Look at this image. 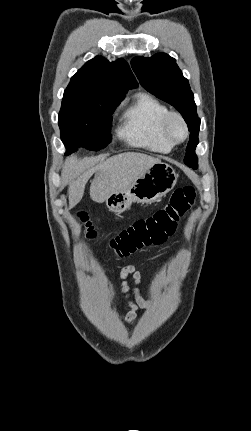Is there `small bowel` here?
Listing matches in <instances>:
<instances>
[{
    "label": "small bowel",
    "instance_id": "obj_1",
    "mask_svg": "<svg viewBox=\"0 0 251 431\" xmlns=\"http://www.w3.org/2000/svg\"><path fill=\"white\" fill-rule=\"evenodd\" d=\"M106 272H118L120 283V291L126 299L128 312L125 314L123 320L127 325H133L137 321V311L139 309H148L154 305V301L145 298L138 286L142 281L140 271L134 265H124L117 269H108ZM156 280L157 275H156ZM132 286H131V284ZM159 292V287L156 288V294Z\"/></svg>",
    "mask_w": 251,
    "mask_h": 431
}]
</instances>
